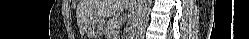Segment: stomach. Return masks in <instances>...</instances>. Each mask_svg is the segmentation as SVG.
<instances>
[{
	"label": "stomach",
	"mask_w": 249,
	"mask_h": 39,
	"mask_svg": "<svg viewBox=\"0 0 249 39\" xmlns=\"http://www.w3.org/2000/svg\"><path fill=\"white\" fill-rule=\"evenodd\" d=\"M104 27L103 20H91L87 23L86 33L91 38H97L102 34V30Z\"/></svg>",
	"instance_id": "obj_1"
}]
</instances>
